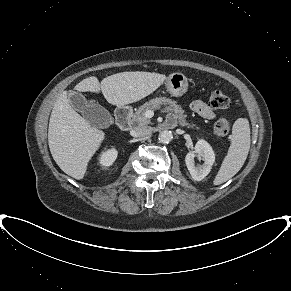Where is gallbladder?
<instances>
[{
	"label": "gallbladder",
	"instance_id": "gallbladder-1",
	"mask_svg": "<svg viewBox=\"0 0 291 291\" xmlns=\"http://www.w3.org/2000/svg\"><path fill=\"white\" fill-rule=\"evenodd\" d=\"M69 102L75 110L80 112L95 127L106 128L113 123V118L107 109L100 104L89 103L81 93L70 92Z\"/></svg>",
	"mask_w": 291,
	"mask_h": 291
}]
</instances>
